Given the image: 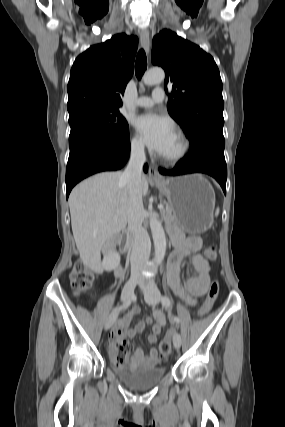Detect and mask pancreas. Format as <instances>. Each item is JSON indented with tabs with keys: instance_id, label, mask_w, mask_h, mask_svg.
Instances as JSON below:
<instances>
[{
	"instance_id": "1",
	"label": "pancreas",
	"mask_w": 285,
	"mask_h": 427,
	"mask_svg": "<svg viewBox=\"0 0 285 427\" xmlns=\"http://www.w3.org/2000/svg\"><path fill=\"white\" fill-rule=\"evenodd\" d=\"M163 204L165 205V208L161 210V216L163 220H165L166 222H173L175 219V216L173 214L172 208L166 202H163Z\"/></svg>"
}]
</instances>
